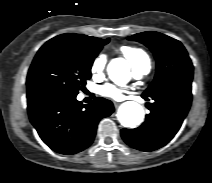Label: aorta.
Listing matches in <instances>:
<instances>
[{"label": "aorta", "mask_w": 212, "mask_h": 183, "mask_svg": "<svg viewBox=\"0 0 212 183\" xmlns=\"http://www.w3.org/2000/svg\"><path fill=\"white\" fill-rule=\"evenodd\" d=\"M108 74L111 79H116L120 74L129 71V64L122 58L113 59L108 65ZM144 110L136 102L128 101L123 103L118 110V120L124 127L133 128L143 122Z\"/></svg>", "instance_id": "762f6f07"}]
</instances>
